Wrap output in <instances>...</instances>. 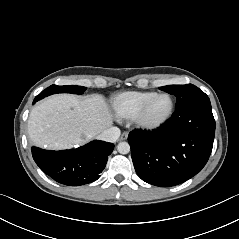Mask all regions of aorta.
<instances>
[{
    "label": "aorta",
    "mask_w": 239,
    "mask_h": 239,
    "mask_svg": "<svg viewBox=\"0 0 239 239\" xmlns=\"http://www.w3.org/2000/svg\"><path fill=\"white\" fill-rule=\"evenodd\" d=\"M117 150L120 154H127L130 152V145L127 142H120L117 145Z\"/></svg>",
    "instance_id": "762f6f07"
}]
</instances>
